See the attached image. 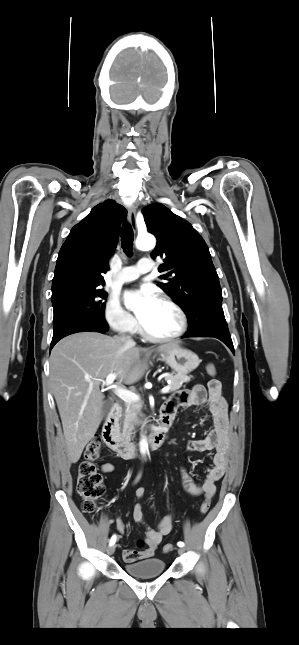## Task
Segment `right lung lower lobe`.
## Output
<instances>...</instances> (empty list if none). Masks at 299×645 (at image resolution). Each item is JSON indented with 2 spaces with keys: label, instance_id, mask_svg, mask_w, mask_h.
<instances>
[{
  "label": "right lung lower lobe",
  "instance_id": "obj_1",
  "mask_svg": "<svg viewBox=\"0 0 299 645\" xmlns=\"http://www.w3.org/2000/svg\"><path fill=\"white\" fill-rule=\"evenodd\" d=\"M107 330H108V325L107 324H100V323L93 322V321L80 322V323L74 324V325L64 329L63 331H61L60 333H58L56 335H53L50 349H52L53 346L60 339H62L63 337H65L67 335L77 333V332H91V331L105 333Z\"/></svg>",
  "mask_w": 299,
  "mask_h": 645
}]
</instances>
